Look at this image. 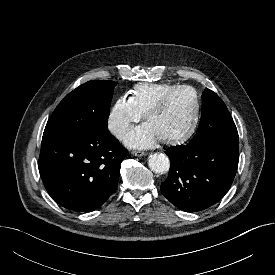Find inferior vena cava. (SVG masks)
Here are the masks:
<instances>
[{"mask_svg":"<svg viewBox=\"0 0 275 275\" xmlns=\"http://www.w3.org/2000/svg\"><path fill=\"white\" fill-rule=\"evenodd\" d=\"M125 131H126L125 128H119V129L116 131V133H117L118 136H121L122 134H124Z\"/></svg>","mask_w":275,"mask_h":275,"instance_id":"obj_1","label":"inferior vena cava"}]
</instances>
